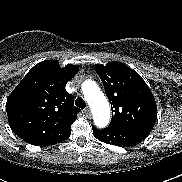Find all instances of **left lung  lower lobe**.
<instances>
[{
	"label": "left lung lower lobe",
	"instance_id": "left-lung-lower-lobe-1",
	"mask_svg": "<svg viewBox=\"0 0 182 182\" xmlns=\"http://www.w3.org/2000/svg\"><path fill=\"white\" fill-rule=\"evenodd\" d=\"M92 130L94 137L99 141L120 147L134 146L145 139V137L134 133L108 127L104 129H97L96 127L92 126Z\"/></svg>",
	"mask_w": 182,
	"mask_h": 182
}]
</instances>
